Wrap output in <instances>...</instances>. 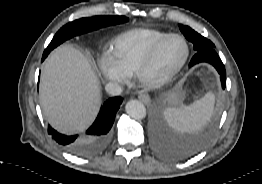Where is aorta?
<instances>
[{"instance_id":"obj_1","label":"aorta","mask_w":262,"mask_h":184,"mask_svg":"<svg viewBox=\"0 0 262 184\" xmlns=\"http://www.w3.org/2000/svg\"><path fill=\"white\" fill-rule=\"evenodd\" d=\"M126 113L135 120H141L146 116V108L139 100H130L125 106Z\"/></svg>"}]
</instances>
